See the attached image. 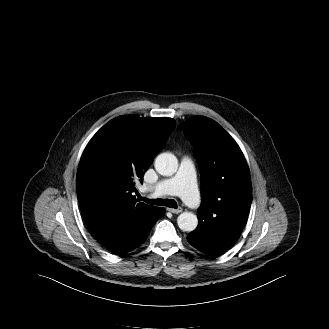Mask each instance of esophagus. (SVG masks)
<instances>
[{
	"mask_svg": "<svg viewBox=\"0 0 329 329\" xmlns=\"http://www.w3.org/2000/svg\"><path fill=\"white\" fill-rule=\"evenodd\" d=\"M167 210H168L169 212H171V213H174V214H178V213H180V212L183 211V209H182L181 207H178V208H176V209H174V208H167Z\"/></svg>",
	"mask_w": 329,
	"mask_h": 329,
	"instance_id": "34e87169",
	"label": "esophagus"
}]
</instances>
